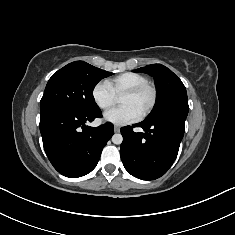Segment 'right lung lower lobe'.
<instances>
[{"label": "right lung lower lobe", "mask_w": 235, "mask_h": 235, "mask_svg": "<svg viewBox=\"0 0 235 235\" xmlns=\"http://www.w3.org/2000/svg\"><path fill=\"white\" fill-rule=\"evenodd\" d=\"M101 116L99 108L86 113L56 108L40 111L43 146L60 174L76 178L96 167L103 147L114 133L113 125L107 122L99 127H90L85 123Z\"/></svg>", "instance_id": "98d812e1"}]
</instances>
